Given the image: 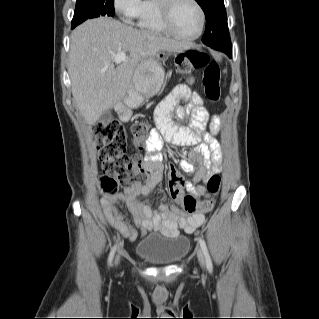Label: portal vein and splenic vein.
<instances>
[{
	"label": "portal vein and splenic vein",
	"mask_w": 319,
	"mask_h": 319,
	"mask_svg": "<svg viewBox=\"0 0 319 319\" xmlns=\"http://www.w3.org/2000/svg\"><path fill=\"white\" fill-rule=\"evenodd\" d=\"M127 59L126 53L125 52H119L115 55L114 57V62L115 63H121Z\"/></svg>",
	"instance_id": "1"
}]
</instances>
